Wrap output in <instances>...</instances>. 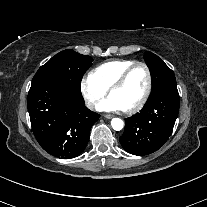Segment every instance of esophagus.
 Instances as JSON below:
<instances>
[{"label": "esophagus", "mask_w": 207, "mask_h": 207, "mask_svg": "<svg viewBox=\"0 0 207 207\" xmlns=\"http://www.w3.org/2000/svg\"><path fill=\"white\" fill-rule=\"evenodd\" d=\"M103 117L106 119H111V118H113V115L105 114V115H103Z\"/></svg>", "instance_id": "1"}]
</instances>
